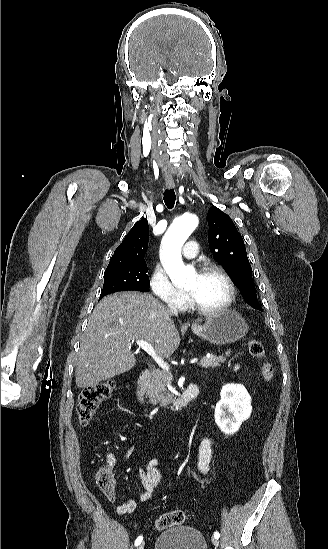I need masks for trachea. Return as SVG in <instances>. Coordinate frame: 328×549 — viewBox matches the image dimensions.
<instances>
[{"label": "trachea", "mask_w": 328, "mask_h": 549, "mask_svg": "<svg viewBox=\"0 0 328 549\" xmlns=\"http://www.w3.org/2000/svg\"><path fill=\"white\" fill-rule=\"evenodd\" d=\"M175 201H176V195L173 188L170 190L166 189L164 193V203L167 206V208L173 209Z\"/></svg>", "instance_id": "3493384b"}]
</instances>
